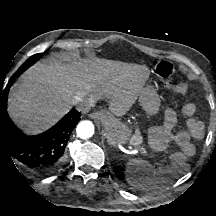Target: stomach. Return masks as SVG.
Returning <instances> with one entry per match:
<instances>
[{
    "instance_id": "obj_1",
    "label": "stomach",
    "mask_w": 216,
    "mask_h": 216,
    "mask_svg": "<svg viewBox=\"0 0 216 216\" xmlns=\"http://www.w3.org/2000/svg\"><path fill=\"white\" fill-rule=\"evenodd\" d=\"M139 103L147 115L154 116L159 113L160 99L154 88H142L139 94ZM104 131L110 145H124L131 142V130L126 126L107 122L104 125Z\"/></svg>"
}]
</instances>
